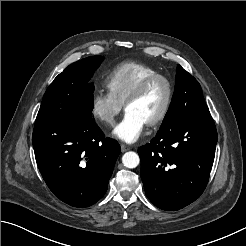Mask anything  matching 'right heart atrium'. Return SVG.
<instances>
[{"mask_svg": "<svg viewBox=\"0 0 246 246\" xmlns=\"http://www.w3.org/2000/svg\"><path fill=\"white\" fill-rule=\"evenodd\" d=\"M122 106L109 92L97 91L92 96L90 111L98 122L113 126Z\"/></svg>", "mask_w": 246, "mask_h": 246, "instance_id": "obj_1", "label": "right heart atrium"}]
</instances>
